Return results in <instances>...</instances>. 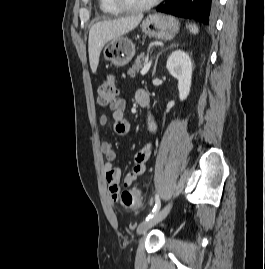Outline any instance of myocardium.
<instances>
[{"mask_svg": "<svg viewBox=\"0 0 265 269\" xmlns=\"http://www.w3.org/2000/svg\"><path fill=\"white\" fill-rule=\"evenodd\" d=\"M162 0H150L146 3L142 4H131L126 2L125 0H112V3L121 11L126 12H137V11H144L150 9L157 4H159Z\"/></svg>", "mask_w": 265, "mask_h": 269, "instance_id": "1", "label": "myocardium"}]
</instances>
